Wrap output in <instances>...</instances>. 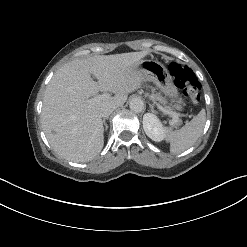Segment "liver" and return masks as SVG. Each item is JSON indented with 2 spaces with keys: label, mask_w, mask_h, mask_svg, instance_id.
<instances>
[{
  "label": "liver",
  "mask_w": 247,
  "mask_h": 247,
  "mask_svg": "<svg viewBox=\"0 0 247 247\" xmlns=\"http://www.w3.org/2000/svg\"><path fill=\"white\" fill-rule=\"evenodd\" d=\"M147 54L140 51L74 59L56 71L45 90L41 122L57 154L73 162H88L101 152V107L106 103L121 106L129 93L141 87L147 73L138 66ZM99 91L115 95L88 103Z\"/></svg>",
  "instance_id": "1"
}]
</instances>
